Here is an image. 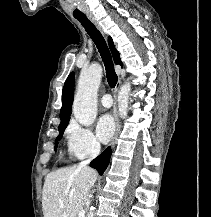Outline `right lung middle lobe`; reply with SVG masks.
Here are the masks:
<instances>
[{
	"label": "right lung middle lobe",
	"mask_w": 211,
	"mask_h": 217,
	"mask_svg": "<svg viewBox=\"0 0 211 217\" xmlns=\"http://www.w3.org/2000/svg\"><path fill=\"white\" fill-rule=\"evenodd\" d=\"M65 128H66V127H63V128H60V129H59V135H58V137L56 138V142H55L56 147H57L58 141L61 139V137H62V135H63V133H64Z\"/></svg>",
	"instance_id": "right-lung-middle-lobe-1"
}]
</instances>
